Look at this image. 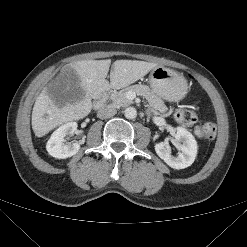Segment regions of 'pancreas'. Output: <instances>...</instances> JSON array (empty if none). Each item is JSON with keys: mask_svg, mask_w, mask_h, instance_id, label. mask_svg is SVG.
I'll return each instance as SVG.
<instances>
[{"mask_svg": "<svg viewBox=\"0 0 247 247\" xmlns=\"http://www.w3.org/2000/svg\"><path fill=\"white\" fill-rule=\"evenodd\" d=\"M128 92H134L137 95H141L146 98L149 102L150 107L155 109V111L159 114L161 113L163 116H167L166 111L167 107L163 103L162 100L157 98L150 90V88L146 85L136 84L129 86L125 89H122L118 92H113L110 95L111 105L115 108L128 106L133 103L131 99L127 97Z\"/></svg>", "mask_w": 247, "mask_h": 247, "instance_id": "obj_1", "label": "pancreas"}]
</instances>
